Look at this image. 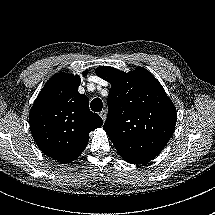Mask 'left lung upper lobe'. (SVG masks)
Returning a JSON list of instances; mask_svg holds the SVG:
<instances>
[{
	"label": "left lung upper lobe",
	"mask_w": 215,
	"mask_h": 215,
	"mask_svg": "<svg viewBox=\"0 0 215 215\" xmlns=\"http://www.w3.org/2000/svg\"><path fill=\"white\" fill-rule=\"evenodd\" d=\"M111 84L103 129L125 161L148 162L161 153L176 124V108L159 81L145 68L125 73L99 66Z\"/></svg>",
	"instance_id": "left-lung-upper-lobe-1"
}]
</instances>
